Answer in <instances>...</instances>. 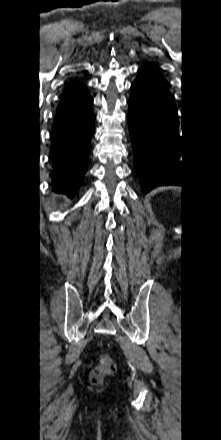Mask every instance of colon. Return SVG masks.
I'll list each match as a JSON object with an SVG mask.
<instances>
[{"label": "colon", "mask_w": 221, "mask_h": 440, "mask_svg": "<svg viewBox=\"0 0 221 440\" xmlns=\"http://www.w3.org/2000/svg\"><path fill=\"white\" fill-rule=\"evenodd\" d=\"M116 370L113 360L108 355L100 356L99 365L94 368L90 374V379L93 384H99L106 376L112 375Z\"/></svg>", "instance_id": "1"}]
</instances>
